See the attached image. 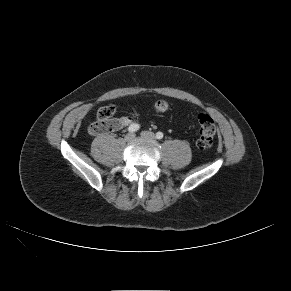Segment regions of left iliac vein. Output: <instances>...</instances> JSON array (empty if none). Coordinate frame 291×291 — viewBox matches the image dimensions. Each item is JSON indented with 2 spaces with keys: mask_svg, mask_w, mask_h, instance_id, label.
I'll return each instance as SVG.
<instances>
[{
  "mask_svg": "<svg viewBox=\"0 0 291 291\" xmlns=\"http://www.w3.org/2000/svg\"><path fill=\"white\" fill-rule=\"evenodd\" d=\"M141 136L144 138H149V139H154L155 135L154 133L150 132V131H142L141 132Z\"/></svg>",
  "mask_w": 291,
  "mask_h": 291,
  "instance_id": "1",
  "label": "left iliac vein"
}]
</instances>
